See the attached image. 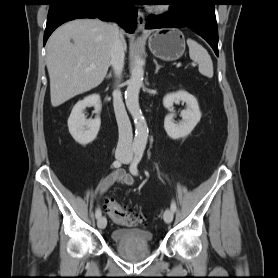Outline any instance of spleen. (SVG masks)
<instances>
[{"label":"spleen","instance_id":"3e777b00","mask_svg":"<svg viewBox=\"0 0 278 278\" xmlns=\"http://www.w3.org/2000/svg\"><path fill=\"white\" fill-rule=\"evenodd\" d=\"M187 45L189 47L190 58L199 65V72L208 78H212L213 63L207 50L192 39L187 40Z\"/></svg>","mask_w":278,"mask_h":278}]
</instances>
